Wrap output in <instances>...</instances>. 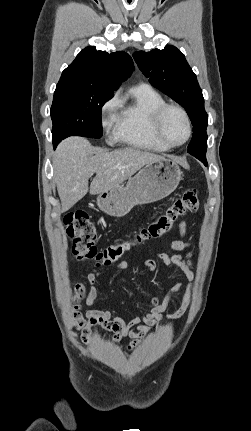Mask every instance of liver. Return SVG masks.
Segmentation results:
<instances>
[{"label":"liver","instance_id":"1","mask_svg":"<svg viewBox=\"0 0 251 431\" xmlns=\"http://www.w3.org/2000/svg\"><path fill=\"white\" fill-rule=\"evenodd\" d=\"M163 156L135 148L111 152L93 147L83 137H69L57 147L53 156L54 180L61 200V211L71 209L88 192L99 194L120 186L148 163ZM96 173L88 185L89 178Z\"/></svg>","mask_w":251,"mask_h":431}]
</instances>
